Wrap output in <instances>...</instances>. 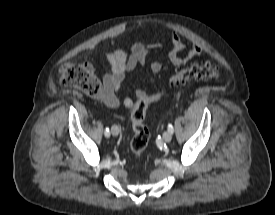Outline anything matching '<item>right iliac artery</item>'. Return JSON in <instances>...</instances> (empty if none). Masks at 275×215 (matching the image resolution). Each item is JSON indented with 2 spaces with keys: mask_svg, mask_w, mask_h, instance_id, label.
I'll list each match as a JSON object with an SVG mask.
<instances>
[{
  "mask_svg": "<svg viewBox=\"0 0 275 215\" xmlns=\"http://www.w3.org/2000/svg\"><path fill=\"white\" fill-rule=\"evenodd\" d=\"M105 136L106 137H109L110 136V130H109V128H105Z\"/></svg>",
  "mask_w": 275,
  "mask_h": 215,
  "instance_id": "1",
  "label": "right iliac artery"
}]
</instances>
